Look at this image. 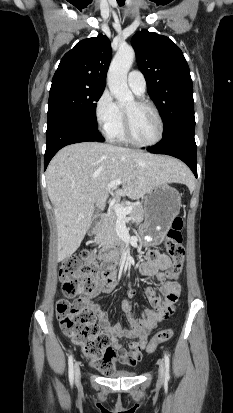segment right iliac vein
Wrapping results in <instances>:
<instances>
[{
  "label": "right iliac vein",
  "instance_id": "obj_1",
  "mask_svg": "<svg viewBox=\"0 0 233 413\" xmlns=\"http://www.w3.org/2000/svg\"><path fill=\"white\" fill-rule=\"evenodd\" d=\"M74 373H75V380H76V382H79V381H80V377H81V372H80V367H79L78 362H75V365H74Z\"/></svg>",
  "mask_w": 233,
  "mask_h": 413
}]
</instances>
